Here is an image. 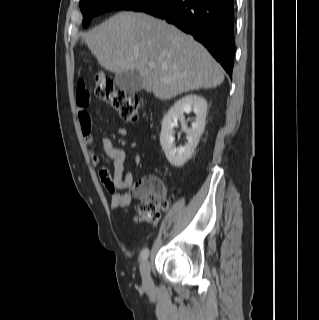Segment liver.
Instances as JSON below:
<instances>
[{
    "instance_id": "1",
    "label": "liver",
    "mask_w": 319,
    "mask_h": 320,
    "mask_svg": "<svg viewBox=\"0 0 319 320\" xmlns=\"http://www.w3.org/2000/svg\"><path fill=\"white\" fill-rule=\"evenodd\" d=\"M81 42L107 71H137L142 87L161 100L224 81L222 67L205 47L174 25L144 13H118ZM149 62L155 67L149 68Z\"/></svg>"
}]
</instances>
